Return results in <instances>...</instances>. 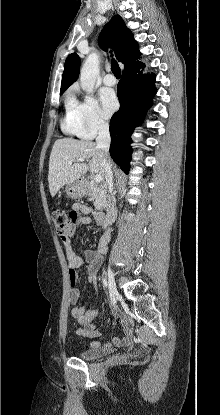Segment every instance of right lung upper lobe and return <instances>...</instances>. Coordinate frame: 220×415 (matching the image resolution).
Segmentation results:
<instances>
[{
    "instance_id": "obj_1",
    "label": "right lung upper lobe",
    "mask_w": 220,
    "mask_h": 415,
    "mask_svg": "<svg viewBox=\"0 0 220 415\" xmlns=\"http://www.w3.org/2000/svg\"><path fill=\"white\" fill-rule=\"evenodd\" d=\"M99 46L107 51L109 45L114 47L117 59L125 66L124 71L139 67L141 53L132 32L126 27L119 15H115L103 28L98 39ZM80 58L76 53L70 54L64 65L60 92L73 84L79 75Z\"/></svg>"
}]
</instances>
